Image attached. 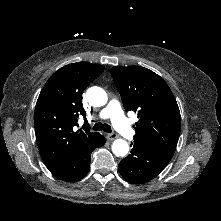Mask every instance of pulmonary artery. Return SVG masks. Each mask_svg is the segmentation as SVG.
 Returning a JSON list of instances; mask_svg holds the SVG:
<instances>
[{
    "label": "pulmonary artery",
    "instance_id": "1",
    "mask_svg": "<svg viewBox=\"0 0 221 221\" xmlns=\"http://www.w3.org/2000/svg\"><path fill=\"white\" fill-rule=\"evenodd\" d=\"M99 118H110L115 129L125 138L131 139L134 136V130L123 115L120 104L117 100H111L108 105L101 110Z\"/></svg>",
    "mask_w": 221,
    "mask_h": 221
}]
</instances>
